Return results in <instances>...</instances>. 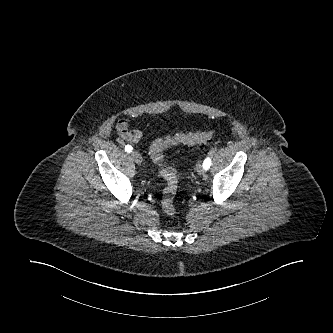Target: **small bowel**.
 Returning a JSON list of instances; mask_svg holds the SVG:
<instances>
[{"mask_svg":"<svg viewBox=\"0 0 333 333\" xmlns=\"http://www.w3.org/2000/svg\"><path fill=\"white\" fill-rule=\"evenodd\" d=\"M117 132L120 138L127 142H137L142 136L140 131L131 129L129 121L125 119L118 121Z\"/></svg>","mask_w":333,"mask_h":333,"instance_id":"obj_1","label":"small bowel"}]
</instances>
